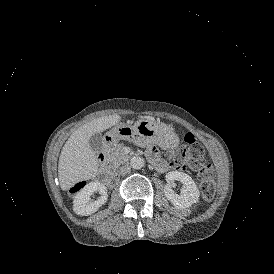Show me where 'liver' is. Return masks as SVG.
Returning a JSON list of instances; mask_svg holds the SVG:
<instances>
[{
  "instance_id": "6515ba94",
  "label": "liver",
  "mask_w": 274,
  "mask_h": 274,
  "mask_svg": "<svg viewBox=\"0 0 274 274\" xmlns=\"http://www.w3.org/2000/svg\"><path fill=\"white\" fill-rule=\"evenodd\" d=\"M119 119L118 115L100 117L72 133L59 158L58 173L62 190H68L75 183L95 176L98 159L89 145V138L116 124Z\"/></svg>"
}]
</instances>
